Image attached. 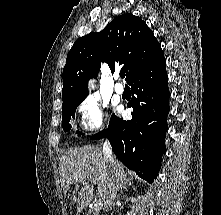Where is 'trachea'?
<instances>
[{
  "instance_id": "obj_1",
  "label": "trachea",
  "mask_w": 221,
  "mask_h": 215,
  "mask_svg": "<svg viewBox=\"0 0 221 215\" xmlns=\"http://www.w3.org/2000/svg\"><path fill=\"white\" fill-rule=\"evenodd\" d=\"M120 77L124 78L125 77V72H120Z\"/></svg>"
}]
</instances>
